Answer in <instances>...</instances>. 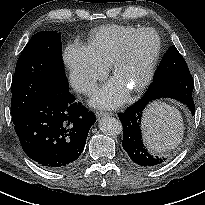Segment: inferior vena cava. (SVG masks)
Here are the masks:
<instances>
[{"instance_id": "602c4592", "label": "inferior vena cava", "mask_w": 205, "mask_h": 205, "mask_svg": "<svg viewBox=\"0 0 205 205\" xmlns=\"http://www.w3.org/2000/svg\"><path fill=\"white\" fill-rule=\"evenodd\" d=\"M96 85L91 82H79L75 85V89L82 93H87L95 89Z\"/></svg>"}]
</instances>
